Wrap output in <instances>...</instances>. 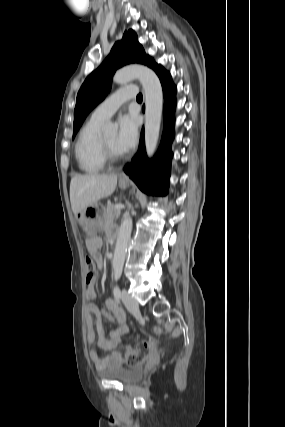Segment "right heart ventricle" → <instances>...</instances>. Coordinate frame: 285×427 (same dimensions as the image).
<instances>
[{"mask_svg":"<svg viewBox=\"0 0 285 427\" xmlns=\"http://www.w3.org/2000/svg\"><path fill=\"white\" fill-rule=\"evenodd\" d=\"M103 122L91 117L81 128L76 140L75 159L78 168L86 174H97L105 167L99 147Z\"/></svg>","mask_w":285,"mask_h":427,"instance_id":"right-heart-ventricle-1","label":"right heart ventricle"}]
</instances>
